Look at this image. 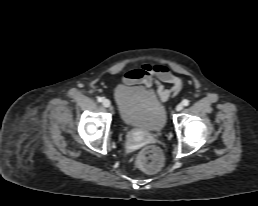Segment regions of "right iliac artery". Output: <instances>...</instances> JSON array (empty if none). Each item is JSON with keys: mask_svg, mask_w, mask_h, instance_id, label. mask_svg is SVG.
<instances>
[{"mask_svg": "<svg viewBox=\"0 0 258 206\" xmlns=\"http://www.w3.org/2000/svg\"><path fill=\"white\" fill-rule=\"evenodd\" d=\"M97 100H98V102H102L103 98L102 97H98Z\"/></svg>", "mask_w": 258, "mask_h": 206, "instance_id": "obj_1", "label": "right iliac artery"}]
</instances>
